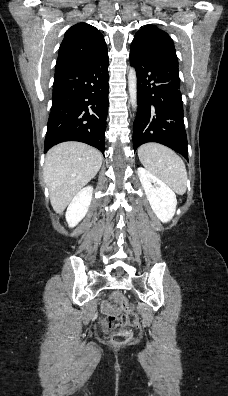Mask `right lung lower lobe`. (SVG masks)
<instances>
[{
  "mask_svg": "<svg viewBox=\"0 0 228 396\" xmlns=\"http://www.w3.org/2000/svg\"><path fill=\"white\" fill-rule=\"evenodd\" d=\"M108 51L55 70L46 153L64 141H79L105 151L108 111Z\"/></svg>",
  "mask_w": 228,
  "mask_h": 396,
  "instance_id": "obj_1",
  "label": "right lung lower lobe"
}]
</instances>
